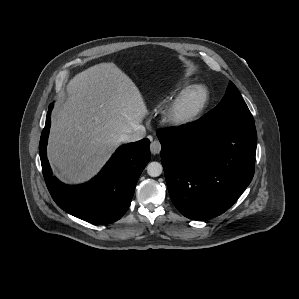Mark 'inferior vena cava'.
Segmentation results:
<instances>
[{
    "label": "inferior vena cava",
    "mask_w": 299,
    "mask_h": 299,
    "mask_svg": "<svg viewBox=\"0 0 299 299\" xmlns=\"http://www.w3.org/2000/svg\"><path fill=\"white\" fill-rule=\"evenodd\" d=\"M145 134H146L145 127L139 125L138 127H136V129L133 132L122 135L120 140L123 142H134V141L141 140L145 136Z\"/></svg>",
    "instance_id": "obj_1"
}]
</instances>
